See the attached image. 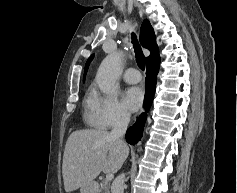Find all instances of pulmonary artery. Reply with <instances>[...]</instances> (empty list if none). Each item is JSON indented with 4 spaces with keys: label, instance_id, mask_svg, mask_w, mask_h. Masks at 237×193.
Masks as SVG:
<instances>
[{
    "label": "pulmonary artery",
    "instance_id": "obj_1",
    "mask_svg": "<svg viewBox=\"0 0 237 193\" xmlns=\"http://www.w3.org/2000/svg\"><path fill=\"white\" fill-rule=\"evenodd\" d=\"M123 78L127 83H138L142 77L136 68L131 67L125 71Z\"/></svg>",
    "mask_w": 237,
    "mask_h": 193
}]
</instances>
